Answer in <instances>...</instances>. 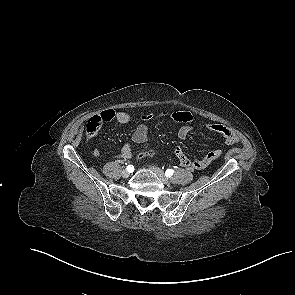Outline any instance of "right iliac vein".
<instances>
[{"label":"right iliac vein","instance_id":"63e3f726","mask_svg":"<svg viewBox=\"0 0 295 295\" xmlns=\"http://www.w3.org/2000/svg\"><path fill=\"white\" fill-rule=\"evenodd\" d=\"M121 175L123 178H127L129 177V172L127 170H123Z\"/></svg>","mask_w":295,"mask_h":295}]
</instances>
